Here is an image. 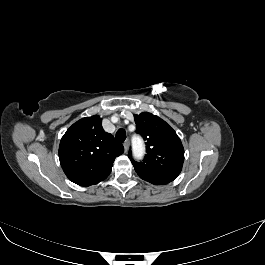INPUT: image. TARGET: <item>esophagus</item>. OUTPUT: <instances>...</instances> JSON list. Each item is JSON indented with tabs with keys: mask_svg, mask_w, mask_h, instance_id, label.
Masks as SVG:
<instances>
[{
	"mask_svg": "<svg viewBox=\"0 0 265 265\" xmlns=\"http://www.w3.org/2000/svg\"><path fill=\"white\" fill-rule=\"evenodd\" d=\"M123 146H124L125 152H127L128 149H129V140H126V141L123 143Z\"/></svg>",
	"mask_w": 265,
	"mask_h": 265,
	"instance_id": "obj_1",
	"label": "esophagus"
}]
</instances>
